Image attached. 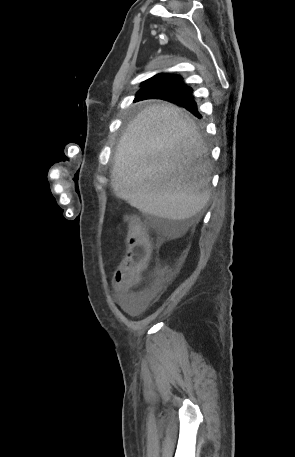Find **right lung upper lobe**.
Listing matches in <instances>:
<instances>
[{"label":"right lung upper lobe","mask_w":295,"mask_h":457,"mask_svg":"<svg viewBox=\"0 0 295 457\" xmlns=\"http://www.w3.org/2000/svg\"><path fill=\"white\" fill-rule=\"evenodd\" d=\"M177 77H178L177 75H168V74L160 73V74H157V75L153 76L152 78L144 81L142 83V88L167 83V82H170V81L176 79Z\"/></svg>","instance_id":"right-lung-upper-lobe-1"}]
</instances>
